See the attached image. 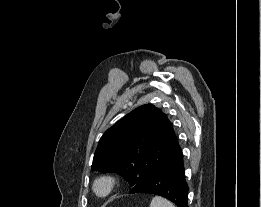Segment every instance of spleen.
I'll return each instance as SVG.
<instances>
[{"label": "spleen", "mask_w": 261, "mask_h": 207, "mask_svg": "<svg viewBox=\"0 0 261 207\" xmlns=\"http://www.w3.org/2000/svg\"><path fill=\"white\" fill-rule=\"evenodd\" d=\"M150 207H175L169 200L162 198L160 196H155L151 203Z\"/></svg>", "instance_id": "1"}]
</instances>
